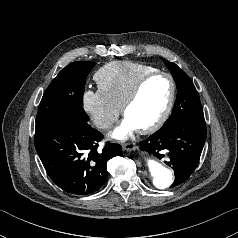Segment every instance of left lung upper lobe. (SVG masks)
I'll return each instance as SVG.
<instances>
[{"mask_svg":"<svg viewBox=\"0 0 238 238\" xmlns=\"http://www.w3.org/2000/svg\"><path fill=\"white\" fill-rule=\"evenodd\" d=\"M164 62L176 82L177 98L173 112L163 126L182 118L204 117L199 95L191 79L176 64L165 60Z\"/></svg>","mask_w":238,"mask_h":238,"instance_id":"obj_1","label":"left lung upper lobe"}]
</instances>
